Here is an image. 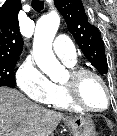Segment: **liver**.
<instances>
[{"label":"liver","instance_id":"1","mask_svg":"<svg viewBox=\"0 0 117 136\" xmlns=\"http://www.w3.org/2000/svg\"><path fill=\"white\" fill-rule=\"evenodd\" d=\"M66 118L31 102L16 89L0 87V136H50Z\"/></svg>","mask_w":117,"mask_h":136}]
</instances>
